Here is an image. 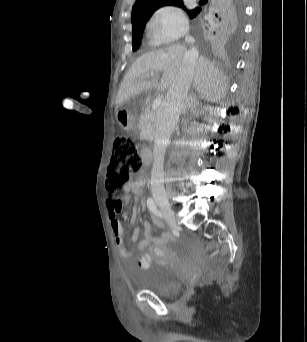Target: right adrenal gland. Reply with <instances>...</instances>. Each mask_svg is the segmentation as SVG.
<instances>
[{"instance_id": "obj_1", "label": "right adrenal gland", "mask_w": 307, "mask_h": 342, "mask_svg": "<svg viewBox=\"0 0 307 342\" xmlns=\"http://www.w3.org/2000/svg\"><path fill=\"white\" fill-rule=\"evenodd\" d=\"M192 104H194V106H196L197 102H193V100H191ZM185 110V108H184Z\"/></svg>"}]
</instances>
